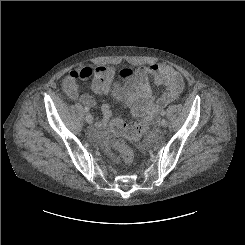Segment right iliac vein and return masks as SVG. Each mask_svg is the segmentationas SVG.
Here are the masks:
<instances>
[{"instance_id": "obj_1", "label": "right iliac vein", "mask_w": 245, "mask_h": 245, "mask_svg": "<svg viewBox=\"0 0 245 245\" xmlns=\"http://www.w3.org/2000/svg\"><path fill=\"white\" fill-rule=\"evenodd\" d=\"M85 119L89 124L93 122V116L91 114H87Z\"/></svg>"}]
</instances>
